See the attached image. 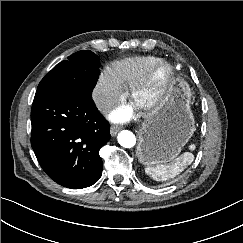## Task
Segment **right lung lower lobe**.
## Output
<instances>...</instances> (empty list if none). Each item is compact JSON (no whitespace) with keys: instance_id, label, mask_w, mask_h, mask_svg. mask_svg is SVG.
<instances>
[{"instance_id":"1","label":"right lung lower lobe","mask_w":243,"mask_h":243,"mask_svg":"<svg viewBox=\"0 0 243 243\" xmlns=\"http://www.w3.org/2000/svg\"><path fill=\"white\" fill-rule=\"evenodd\" d=\"M31 146L45 173L56 183L80 189L101 177L100 148L110 125L91 94L38 90L31 110Z\"/></svg>"}]
</instances>
